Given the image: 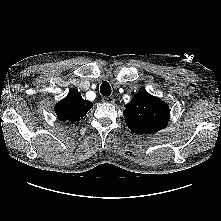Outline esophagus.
<instances>
[{
    "label": "esophagus",
    "mask_w": 221,
    "mask_h": 221,
    "mask_svg": "<svg viewBox=\"0 0 221 221\" xmlns=\"http://www.w3.org/2000/svg\"><path fill=\"white\" fill-rule=\"evenodd\" d=\"M102 101L106 103H114L115 99L112 96H104L102 97Z\"/></svg>",
    "instance_id": "1"
}]
</instances>
